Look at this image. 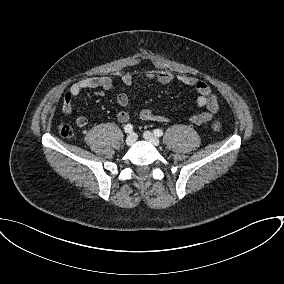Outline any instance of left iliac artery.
Wrapping results in <instances>:
<instances>
[{
	"instance_id": "obj_1",
	"label": "left iliac artery",
	"mask_w": 284,
	"mask_h": 284,
	"mask_svg": "<svg viewBox=\"0 0 284 284\" xmlns=\"http://www.w3.org/2000/svg\"><path fill=\"white\" fill-rule=\"evenodd\" d=\"M153 132L157 137H161L163 135V131L161 129H155Z\"/></svg>"
}]
</instances>
